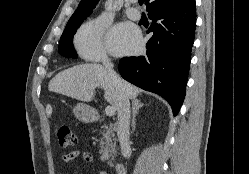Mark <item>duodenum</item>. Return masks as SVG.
<instances>
[{
    "label": "duodenum",
    "instance_id": "duodenum-1",
    "mask_svg": "<svg viewBox=\"0 0 249 174\" xmlns=\"http://www.w3.org/2000/svg\"><path fill=\"white\" fill-rule=\"evenodd\" d=\"M113 168L116 174H126V169L123 164H116Z\"/></svg>",
    "mask_w": 249,
    "mask_h": 174
}]
</instances>
